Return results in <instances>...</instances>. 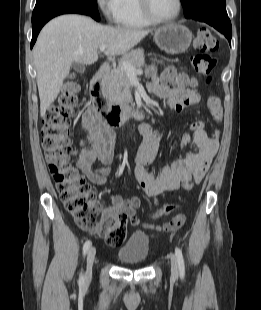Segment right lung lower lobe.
Instances as JSON below:
<instances>
[{
    "mask_svg": "<svg viewBox=\"0 0 261 310\" xmlns=\"http://www.w3.org/2000/svg\"><path fill=\"white\" fill-rule=\"evenodd\" d=\"M67 13H78V14L87 15L86 13L76 11V10H69V9H55V10H50V11L40 14L35 19H32L33 36H32V41H31V48L33 47L37 39V36L41 28L45 25V23H47L50 19H52L55 16H58L61 14H67Z\"/></svg>",
    "mask_w": 261,
    "mask_h": 310,
    "instance_id": "1",
    "label": "right lung lower lobe"
}]
</instances>
